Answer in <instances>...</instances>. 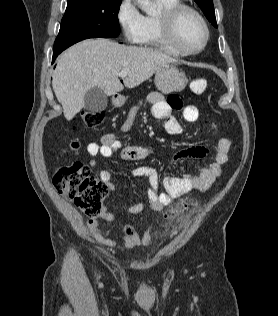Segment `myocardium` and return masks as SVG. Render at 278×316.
Here are the masks:
<instances>
[{
    "label": "myocardium",
    "instance_id": "f54148a6",
    "mask_svg": "<svg viewBox=\"0 0 278 316\" xmlns=\"http://www.w3.org/2000/svg\"><path fill=\"white\" fill-rule=\"evenodd\" d=\"M184 13H191L193 14L202 24L204 31H205V37L203 40V43L200 47L196 49L188 48L184 45V43L181 41L178 31V24L181 16ZM161 22H162V28L163 31L168 38V40L175 46L179 51L184 53L185 55H195L200 53L205 49L207 46L209 39H210V28L209 25L204 18V16L198 11L195 7L185 4V3H179L175 5L174 7L164 11L161 16Z\"/></svg>",
    "mask_w": 278,
    "mask_h": 316
}]
</instances>
